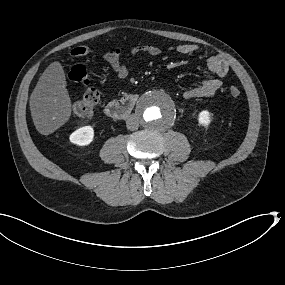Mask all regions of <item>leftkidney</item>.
<instances>
[{"mask_svg": "<svg viewBox=\"0 0 285 285\" xmlns=\"http://www.w3.org/2000/svg\"><path fill=\"white\" fill-rule=\"evenodd\" d=\"M198 126L209 128L212 122V114L208 109H202L197 116Z\"/></svg>", "mask_w": 285, "mask_h": 285, "instance_id": "left-kidney-1", "label": "left kidney"}]
</instances>
